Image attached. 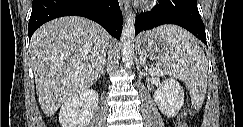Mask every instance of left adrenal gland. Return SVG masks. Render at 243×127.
I'll use <instances>...</instances> for the list:
<instances>
[{
  "label": "left adrenal gland",
  "instance_id": "obj_1",
  "mask_svg": "<svg viewBox=\"0 0 243 127\" xmlns=\"http://www.w3.org/2000/svg\"><path fill=\"white\" fill-rule=\"evenodd\" d=\"M140 65H141L142 67H144V69H145L146 71H148V66H147V64H146V62H145V58H144L143 56L140 57Z\"/></svg>",
  "mask_w": 243,
  "mask_h": 127
}]
</instances>
